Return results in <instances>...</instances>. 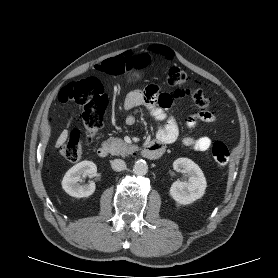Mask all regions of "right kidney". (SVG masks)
Wrapping results in <instances>:
<instances>
[{"label":"right kidney","mask_w":278,"mask_h":278,"mask_svg":"<svg viewBox=\"0 0 278 278\" xmlns=\"http://www.w3.org/2000/svg\"><path fill=\"white\" fill-rule=\"evenodd\" d=\"M97 166L92 161H82L70 168L63 177L62 188L72 197H89L95 191V183L80 185L81 177L96 176Z\"/></svg>","instance_id":"obj_1"}]
</instances>
